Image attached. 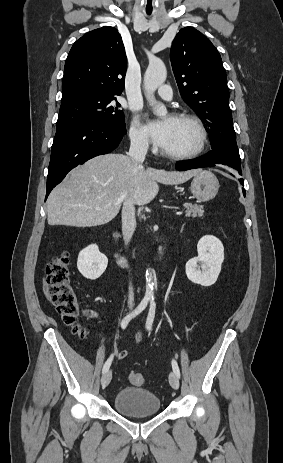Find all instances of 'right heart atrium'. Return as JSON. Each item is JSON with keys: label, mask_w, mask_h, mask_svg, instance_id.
I'll list each match as a JSON object with an SVG mask.
<instances>
[{"label": "right heart atrium", "mask_w": 283, "mask_h": 463, "mask_svg": "<svg viewBox=\"0 0 283 463\" xmlns=\"http://www.w3.org/2000/svg\"><path fill=\"white\" fill-rule=\"evenodd\" d=\"M129 136L131 140V144L136 149H147L148 148V139L144 129L139 124L138 120L135 118L131 123V127L129 130Z\"/></svg>", "instance_id": "right-heart-atrium-1"}]
</instances>
